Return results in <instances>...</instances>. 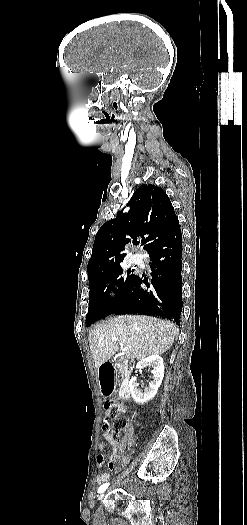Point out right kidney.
Masks as SVG:
<instances>
[{"instance_id": "ca27d5eb", "label": "right kidney", "mask_w": 247, "mask_h": 525, "mask_svg": "<svg viewBox=\"0 0 247 525\" xmlns=\"http://www.w3.org/2000/svg\"><path fill=\"white\" fill-rule=\"evenodd\" d=\"M144 367H152V381H150L148 387H145L144 391L138 389L137 377H132L129 381L130 393L137 405H145V403L154 399L164 377V363L159 355L146 357V359H142L136 365V369H144Z\"/></svg>"}]
</instances>
